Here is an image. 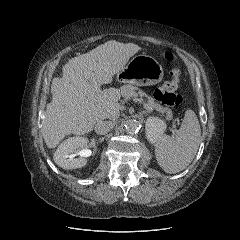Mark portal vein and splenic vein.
<instances>
[{"mask_svg": "<svg viewBox=\"0 0 240 240\" xmlns=\"http://www.w3.org/2000/svg\"><path fill=\"white\" fill-rule=\"evenodd\" d=\"M99 93H101L100 86H99V85H94V86L92 87V90H91V92H90V95H91L92 97H94V96H96V95L99 94ZM137 101L142 102L141 99H137ZM143 107H144L147 111H152V110H153V108H152L150 105H148L147 103H143Z\"/></svg>", "mask_w": 240, "mask_h": 240, "instance_id": "18ae733b", "label": "portal vein and splenic vein"}]
</instances>
